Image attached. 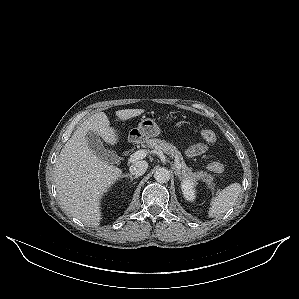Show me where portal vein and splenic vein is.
I'll use <instances>...</instances> for the list:
<instances>
[{
  "mask_svg": "<svg viewBox=\"0 0 299 299\" xmlns=\"http://www.w3.org/2000/svg\"><path fill=\"white\" fill-rule=\"evenodd\" d=\"M146 155H147V152H146L145 150H138V151H136L135 153H133V154L129 157L128 161H129V162H135V161H137V160H139V159L144 158ZM176 168H177L178 170H180L181 165H180L179 163H177V164H176Z\"/></svg>",
  "mask_w": 299,
  "mask_h": 299,
  "instance_id": "18ae733b",
  "label": "portal vein and splenic vein"
}]
</instances>
